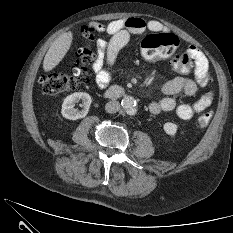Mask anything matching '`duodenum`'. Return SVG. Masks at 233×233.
Returning a JSON list of instances; mask_svg holds the SVG:
<instances>
[{
  "instance_id": "410a0bca",
  "label": "duodenum",
  "mask_w": 233,
  "mask_h": 233,
  "mask_svg": "<svg viewBox=\"0 0 233 233\" xmlns=\"http://www.w3.org/2000/svg\"><path fill=\"white\" fill-rule=\"evenodd\" d=\"M124 93L123 89L120 88V87H111L109 88L106 92H105V96L107 98H117V97H120L122 94Z\"/></svg>"
}]
</instances>
